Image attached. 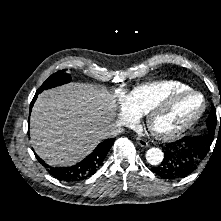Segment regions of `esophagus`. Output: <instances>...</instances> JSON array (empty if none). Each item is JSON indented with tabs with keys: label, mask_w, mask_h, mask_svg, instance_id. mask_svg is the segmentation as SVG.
Instances as JSON below:
<instances>
[{
	"label": "esophagus",
	"mask_w": 221,
	"mask_h": 221,
	"mask_svg": "<svg viewBox=\"0 0 221 221\" xmlns=\"http://www.w3.org/2000/svg\"><path fill=\"white\" fill-rule=\"evenodd\" d=\"M136 141L141 147H144V148L148 147V142L144 140L143 138L137 137Z\"/></svg>",
	"instance_id": "esophagus-1"
}]
</instances>
